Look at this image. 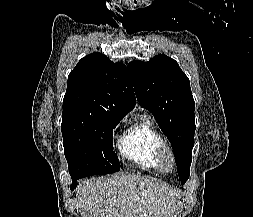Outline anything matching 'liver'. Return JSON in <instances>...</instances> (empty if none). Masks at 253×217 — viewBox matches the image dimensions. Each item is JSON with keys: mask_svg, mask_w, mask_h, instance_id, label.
<instances>
[{"mask_svg": "<svg viewBox=\"0 0 253 217\" xmlns=\"http://www.w3.org/2000/svg\"><path fill=\"white\" fill-rule=\"evenodd\" d=\"M83 217H176L180 194L138 175L86 179L76 188Z\"/></svg>", "mask_w": 253, "mask_h": 217, "instance_id": "1", "label": "liver"}]
</instances>
